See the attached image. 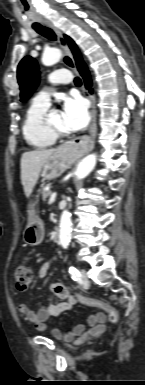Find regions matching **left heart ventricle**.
<instances>
[{"mask_svg":"<svg viewBox=\"0 0 145 385\" xmlns=\"http://www.w3.org/2000/svg\"><path fill=\"white\" fill-rule=\"evenodd\" d=\"M49 121H50L51 125L54 126L55 128H57L61 131H64V132H69L67 130V128L65 127L63 115L61 112H57V111L53 112L49 116Z\"/></svg>","mask_w":145,"mask_h":385,"instance_id":"b2bd125f","label":"left heart ventricle"}]
</instances>
